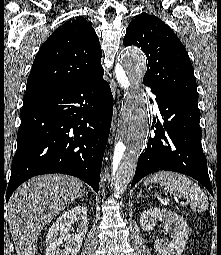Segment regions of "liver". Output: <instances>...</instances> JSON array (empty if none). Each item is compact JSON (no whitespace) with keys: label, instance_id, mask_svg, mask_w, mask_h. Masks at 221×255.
Masks as SVG:
<instances>
[{"label":"liver","instance_id":"obj_1","mask_svg":"<svg viewBox=\"0 0 221 255\" xmlns=\"http://www.w3.org/2000/svg\"><path fill=\"white\" fill-rule=\"evenodd\" d=\"M83 193L72 176L47 174L24 182L8 202V223L17 255H35L43 228Z\"/></svg>","mask_w":221,"mask_h":255}]
</instances>
